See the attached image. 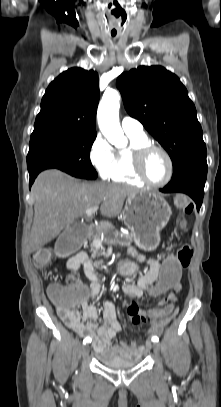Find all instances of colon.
Listing matches in <instances>:
<instances>
[{
	"mask_svg": "<svg viewBox=\"0 0 221 407\" xmlns=\"http://www.w3.org/2000/svg\"><path fill=\"white\" fill-rule=\"evenodd\" d=\"M175 204L178 209L185 214H190L193 210L192 203L185 195H179L175 199ZM92 229L91 222H71L69 230H65L64 234H59L60 246H56V255H77L78 249H82L85 240L89 237V232ZM193 251L188 245H184L177 252H166L165 258L160 262V273L156 283L151 284V292L148 297L154 300L159 297L155 292H174V286H179L181 277H183V268H187L190 264ZM50 252L48 250L41 251L36 257L38 267H44L50 260ZM48 295L51 301L56 306L59 314H68L77 307L78 298L75 287L67 283L65 286L53 284L48 288ZM175 306L177 303H171ZM172 305H155L150 313L142 315L146 321H152L160 318H169L170 312L173 311Z\"/></svg>",
	"mask_w": 221,
	"mask_h": 407,
	"instance_id": "1",
	"label": "colon"
}]
</instances>
